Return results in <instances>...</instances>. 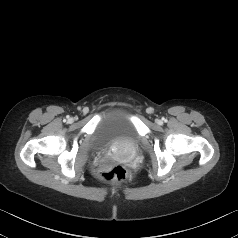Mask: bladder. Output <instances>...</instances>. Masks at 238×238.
Returning a JSON list of instances; mask_svg holds the SVG:
<instances>
[{"mask_svg":"<svg viewBox=\"0 0 238 238\" xmlns=\"http://www.w3.org/2000/svg\"><path fill=\"white\" fill-rule=\"evenodd\" d=\"M132 117L133 113L126 105L106 108L92 134V147L106 151L114 146L136 144L140 136Z\"/></svg>","mask_w":238,"mask_h":238,"instance_id":"obj_1","label":"bladder"}]
</instances>
